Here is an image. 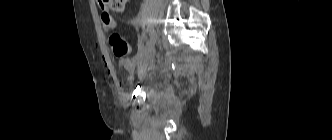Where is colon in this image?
Returning a JSON list of instances; mask_svg holds the SVG:
<instances>
[{"label":"colon","instance_id":"obj_1","mask_svg":"<svg viewBox=\"0 0 332 140\" xmlns=\"http://www.w3.org/2000/svg\"><path fill=\"white\" fill-rule=\"evenodd\" d=\"M127 0H98L99 6L103 10L121 11L123 10ZM101 25L105 31H113L116 23L109 12H103L101 15ZM111 49L115 56L125 57L130 54V46L118 34H113L110 37Z\"/></svg>","mask_w":332,"mask_h":140}]
</instances>
